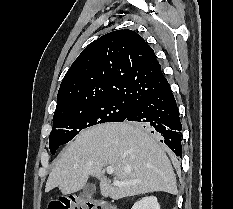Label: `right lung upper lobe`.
Returning <instances> with one entry per match:
<instances>
[{"label":"right lung upper lobe","instance_id":"right-lung-upper-lobe-1","mask_svg":"<svg viewBox=\"0 0 233 209\" xmlns=\"http://www.w3.org/2000/svg\"><path fill=\"white\" fill-rule=\"evenodd\" d=\"M154 51L132 30L105 34L88 45L65 74L55 115L107 98L137 102L167 84Z\"/></svg>","mask_w":233,"mask_h":209}]
</instances>
